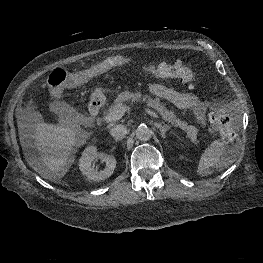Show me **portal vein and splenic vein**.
I'll return each mask as SVG.
<instances>
[{
	"mask_svg": "<svg viewBox=\"0 0 263 263\" xmlns=\"http://www.w3.org/2000/svg\"><path fill=\"white\" fill-rule=\"evenodd\" d=\"M128 106L125 105H118V107L113 110L112 112L108 113L103 119L105 122H113L116 120H119L122 118V116L125 114V112L128 110ZM145 111L152 117L154 118H159V116L157 115V113H155L154 111L150 110L149 108H145Z\"/></svg>",
	"mask_w": 263,
	"mask_h": 263,
	"instance_id": "1",
	"label": "portal vein and splenic vein"
}]
</instances>
